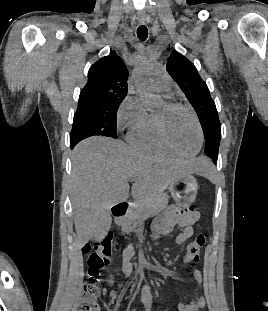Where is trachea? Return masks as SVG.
I'll return each instance as SVG.
<instances>
[{"label": "trachea", "mask_w": 268, "mask_h": 311, "mask_svg": "<svg viewBox=\"0 0 268 311\" xmlns=\"http://www.w3.org/2000/svg\"><path fill=\"white\" fill-rule=\"evenodd\" d=\"M137 36L141 41H145L148 37V29L146 26L141 25L137 29Z\"/></svg>", "instance_id": "1"}]
</instances>
